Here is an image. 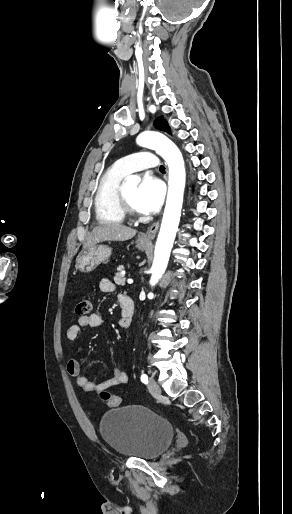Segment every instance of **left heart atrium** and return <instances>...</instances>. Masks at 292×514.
Returning a JSON list of instances; mask_svg holds the SVG:
<instances>
[{"label":"left heart atrium","mask_w":292,"mask_h":514,"mask_svg":"<svg viewBox=\"0 0 292 514\" xmlns=\"http://www.w3.org/2000/svg\"><path fill=\"white\" fill-rule=\"evenodd\" d=\"M164 186L160 179L152 174H145L136 192V205L145 213H155L162 204Z\"/></svg>","instance_id":"left-heart-atrium-1"}]
</instances>
